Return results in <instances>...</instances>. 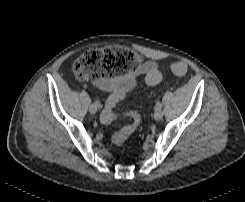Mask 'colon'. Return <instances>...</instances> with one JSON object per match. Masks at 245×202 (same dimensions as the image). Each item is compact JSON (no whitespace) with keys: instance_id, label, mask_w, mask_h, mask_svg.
<instances>
[{"instance_id":"1","label":"colon","mask_w":245,"mask_h":202,"mask_svg":"<svg viewBox=\"0 0 245 202\" xmlns=\"http://www.w3.org/2000/svg\"><path fill=\"white\" fill-rule=\"evenodd\" d=\"M138 56L127 47L115 46L95 48L82 53L73 64L76 75L87 80H97L101 77L115 78L130 71L138 62ZM171 71L176 75H185L188 67L184 62L177 61L171 64ZM155 79L161 77L160 72L154 74ZM123 116L131 117L134 123L128 125L111 136V143L121 147L125 141L137 130L140 125V115L134 111H128ZM101 121L110 124L117 118L111 105L107 104L101 114Z\"/></svg>"}]
</instances>
